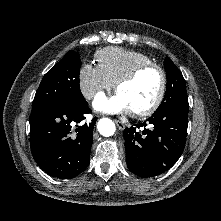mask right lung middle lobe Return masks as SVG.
Returning <instances> with one entry per match:
<instances>
[{
	"label": "right lung middle lobe",
	"instance_id": "right-lung-middle-lobe-1",
	"mask_svg": "<svg viewBox=\"0 0 221 221\" xmlns=\"http://www.w3.org/2000/svg\"><path fill=\"white\" fill-rule=\"evenodd\" d=\"M80 67L78 53L69 51L44 75L34 97L30 120L56 104H80L85 100L79 87Z\"/></svg>",
	"mask_w": 221,
	"mask_h": 221
}]
</instances>
